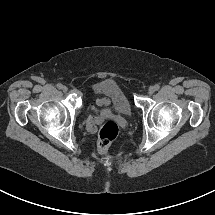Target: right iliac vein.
<instances>
[{"label": "right iliac vein", "mask_w": 215, "mask_h": 215, "mask_svg": "<svg viewBox=\"0 0 215 215\" xmlns=\"http://www.w3.org/2000/svg\"><path fill=\"white\" fill-rule=\"evenodd\" d=\"M64 92H66L68 90V88L66 86H62L61 88Z\"/></svg>", "instance_id": "obj_1"}]
</instances>
